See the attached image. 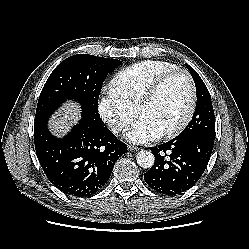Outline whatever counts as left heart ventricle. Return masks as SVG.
Returning a JSON list of instances; mask_svg holds the SVG:
<instances>
[{"label": "left heart ventricle", "mask_w": 249, "mask_h": 249, "mask_svg": "<svg viewBox=\"0 0 249 249\" xmlns=\"http://www.w3.org/2000/svg\"><path fill=\"white\" fill-rule=\"evenodd\" d=\"M189 97V86L184 75H174L163 84L155 98L141 109L140 116L150 119L165 132L183 118Z\"/></svg>", "instance_id": "left-heart-ventricle-1"}]
</instances>
